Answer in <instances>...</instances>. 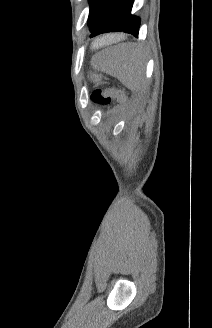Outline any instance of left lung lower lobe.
<instances>
[{"mask_svg": "<svg viewBox=\"0 0 212 328\" xmlns=\"http://www.w3.org/2000/svg\"><path fill=\"white\" fill-rule=\"evenodd\" d=\"M134 0H108L96 24L90 30V37L107 32H125L138 37L140 19L131 15Z\"/></svg>", "mask_w": 212, "mask_h": 328, "instance_id": "1", "label": "left lung lower lobe"}]
</instances>
